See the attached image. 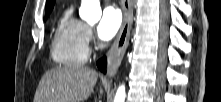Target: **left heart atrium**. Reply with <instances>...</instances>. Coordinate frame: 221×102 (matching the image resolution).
Returning a JSON list of instances; mask_svg holds the SVG:
<instances>
[{"mask_svg":"<svg viewBox=\"0 0 221 102\" xmlns=\"http://www.w3.org/2000/svg\"><path fill=\"white\" fill-rule=\"evenodd\" d=\"M123 17L121 11L114 5L107 6L103 12L97 27V33L101 40L107 41L115 36L121 28Z\"/></svg>","mask_w":221,"mask_h":102,"instance_id":"1","label":"left heart atrium"}]
</instances>
